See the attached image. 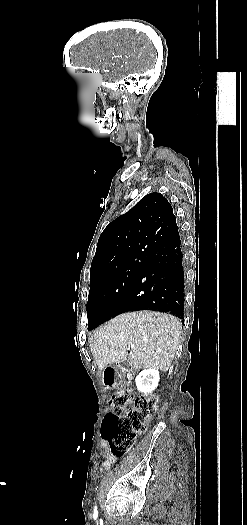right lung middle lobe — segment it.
Instances as JSON below:
<instances>
[{
	"label": "right lung middle lobe",
	"mask_w": 247,
	"mask_h": 525,
	"mask_svg": "<svg viewBox=\"0 0 247 525\" xmlns=\"http://www.w3.org/2000/svg\"><path fill=\"white\" fill-rule=\"evenodd\" d=\"M145 265V258L131 265L90 273V291L86 305L88 330L115 316L119 304L139 277Z\"/></svg>",
	"instance_id": "1"
}]
</instances>
